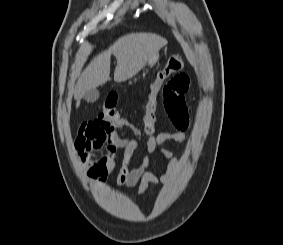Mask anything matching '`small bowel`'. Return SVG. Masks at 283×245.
Wrapping results in <instances>:
<instances>
[{"mask_svg":"<svg viewBox=\"0 0 283 245\" xmlns=\"http://www.w3.org/2000/svg\"><path fill=\"white\" fill-rule=\"evenodd\" d=\"M189 87V76L182 72L163 84L160 93L162 103L177 131L151 136L146 145L147 155L134 168L131 167V162L138 147L136 139L121 137L116 127L99 118L81 124L74 146L88 177L97 182H105L115 168L119 151L123 150L122 166L116 178L117 186L131 188L137 185L138 192L142 194L150 184L158 185L172 180L179 172V159L163 144L184 143L188 140L190 118L184 96ZM155 154L169 160L164 173L149 170L150 158Z\"/></svg>","mask_w":283,"mask_h":245,"instance_id":"small-bowel-1","label":"small bowel"}]
</instances>
